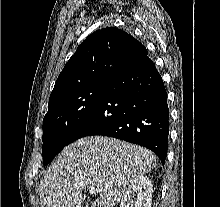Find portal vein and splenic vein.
Wrapping results in <instances>:
<instances>
[{"mask_svg": "<svg viewBox=\"0 0 220 207\" xmlns=\"http://www.w3.org/2000/svg\"><path fill=\"white\" fill-rule=\"evenodd\" d=\"M89 192L92 194L98 193L99 189L95 188V187H89Z\"/></svg>", "mask_w": 220, "mask_h": 207, "instance_id": "obj_1", "label": "portal vein and splenic vein"}]
</instances>
